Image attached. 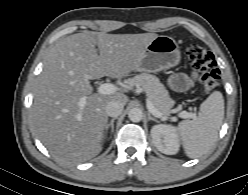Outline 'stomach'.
<instances>
[{
	"mask_svg": "<svg viewBox=\"0 0 248 195\" xmlns=\"http://www.w3.org/2000/svg\"><path fill=\"white\" fill-rule=\"evenodd\" d=\"M181 52L175 39L158 36L143 50L137 71L156 73L179 64Z\"/></svg>",
	"mask_w": 248,
	"mask_h": 195,
	"instance_id": "stomach-1",
	"label": "stomach"
}]
</instances>
